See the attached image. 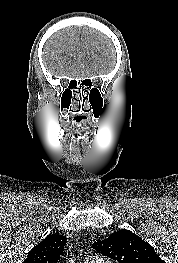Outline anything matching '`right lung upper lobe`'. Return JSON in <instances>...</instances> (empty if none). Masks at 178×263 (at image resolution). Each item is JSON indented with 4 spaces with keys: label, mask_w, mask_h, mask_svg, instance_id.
Returning <instances> with one entry per match:
<instances>
[{
    "label": "right lung upper lobe",
    "mask_w": 178,
    "mask_h": 263,
    "mask_svg": "<svg viewBox=\"0 0 178 263\" xmlns=\"http://www.w3.org/2000/svg\"><path fill=\"white\" fill-rule=\"evenodd\" d=\"M66 245V238L59 234L48 235L36 245L23 263H57Z\"/></svg>",
    "instance_id": "obj_1"
}]
</instances>
